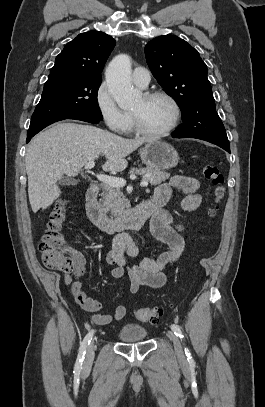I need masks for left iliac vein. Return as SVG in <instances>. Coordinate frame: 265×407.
<instances>
[{
  "instance_id": "4c4485c4",
  "label": "left iliac vein",
  "mask_w": 265,
  "mask_h": 407,
  "mask_svg": "<svg viewBox=\"0 0 265 407\" xmlns=\"http://www.w3.org/2000/svg\"><path fill=\"white\" fill-rule=\"evenodd\" d=\"M168 337L171 339L174 345L175 352L179 357H183V350L180 339L172 331H168Z\"/></svg>"
}]
</instances>
